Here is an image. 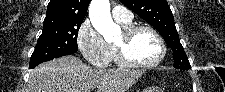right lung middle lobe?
I'll use <instances>...</instances> for the list:
<instances>
[{
  "mask_svg": "<svg viewBox=\"0 0 225 92\" xmlns=\"http://www.w3.org/2000/svg\"><path fill=\"white\" fill-rule=\"evenodd\" d=\"M82 22L43 24L30 63L57 58L78 50L77 35Z\"/></svg>",
  "mask_w": 225,
  "mask_h": 92,
  "instance_id": "1",
  "label": "right lung middle lobe"
}]
</instances>
